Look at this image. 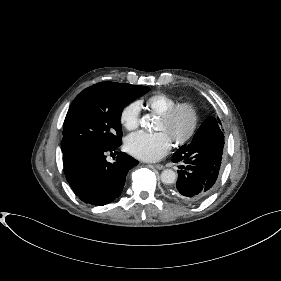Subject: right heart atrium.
Wrapping results in <instances>:
<instances>
[{
  "mask_svg": "<svg viewBox=\"0 0 281 281\" xmlns=\"http://www.w3.org/2000/svg\"><path fill=\"white\" fill-rule=\"evenodd\" d=\"M140 105L132 101L125 105L120 112V122L128 130H134L140 123Z\"/></svg>",
  "mask_w": 281,
  "mask_h": 281,
  "instance_id": "right-heart-atrium-1",
  "label": "right heart atrium"
}]
</instances>
